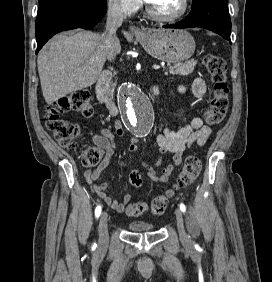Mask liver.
<instances>
[{
  "label": "liver",
  "mask_w": 272,
  "mask_h": 282,
  "mask_svg": "<svg viewBox=\"0 0 272 282\" xmlns=\"http://www.w3.org/2000/svg\"><path fill=\"white\" fill-rule=\"evenodd\" d=\"M121 51L117 38L113 57ZM105 35L78 31L54 36L38 55L43 97L48 105L70 93L93 85L107 58Z\"/></svg>",
  "instance_id": "6515ba94"
}]
</instances>
